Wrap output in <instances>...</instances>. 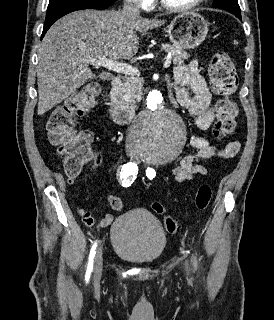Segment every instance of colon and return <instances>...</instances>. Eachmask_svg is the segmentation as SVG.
<instances>
[{
	"instance_id": "obj_1",
	"label": "colon",
	"mask_w": 274,
	"mask_h": 320,
	"mask_svg": "<svg viewBox=\"0 0 274 320\" xmlns=\"http://www.w3.org/2000/svg\"><path fill=\"white\" fill-rule=\"evenodd\" d=\"M208 75L213 91L219 96L217 105V120L214 134L217 139H224L237 129V106L232 96L237 88V71L229 55L225 51H215L211 57ZM96 88L85 86L75 97H72L53 110L48 122L50 139L59 144V153L64 163L66 175L76 177L81 167L93 155V135L89 131H76L75 123L80 113L88 106L95 104ZM212 198V189L202 184L195 195L194 204L198 209H206ZM152 203V202H151ZM150 208L164 216V226L168 233L177 231V222L167 213L165 207L153 201ZM121 199L114 197L111 207L115 211L123 209Z\"/></svg>"
}]
</instances>
